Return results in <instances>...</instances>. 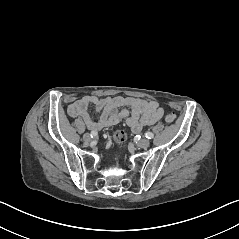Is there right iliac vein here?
<instances>
[{"label": "right iliac vein", "instance_id": "obj_1", "mask_svg": "<svg viewBox=\"0 0 239 239\" xmlns=\"http://www.w3.org/2000/svg\"><path fill=\"white\" fill-rule=\"evenodd\" d=\"M83 140H84L86 143H89V142L91 141V136H90V134L85 133V134L83 135Z\"/></svg>", "mask_w": 239, "mask_h": 239}]
</instances>
